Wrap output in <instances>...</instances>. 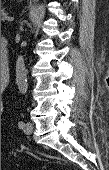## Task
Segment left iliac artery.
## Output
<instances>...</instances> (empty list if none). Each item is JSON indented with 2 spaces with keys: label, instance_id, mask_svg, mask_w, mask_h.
<instances>
[{
  "label": "left iliac artery",
  "instance_id": "1",
  "mask_svg": "<svg viewBox=\"0 0 109 170\" xmlns=\"http://www.w3.org/2000/svg\"><path fill=\"white\" fill-rule=\"evenodd\" d=\"M24 125H25V123H24L23 121H20V122L18 123V127H19L20 129H23Z\"/></svg>",
  "mask_w": 109,
  "mask_h": 170
}]
</instances>
